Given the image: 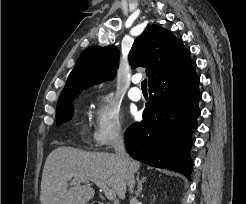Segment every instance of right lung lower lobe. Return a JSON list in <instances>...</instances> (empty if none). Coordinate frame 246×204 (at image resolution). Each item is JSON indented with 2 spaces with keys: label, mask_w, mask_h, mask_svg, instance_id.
<instances>
[{
  "label": "right lung lower lobe",
  "mask_w": 246,
  "mask_h": 204,
  "mask_svg": "<svg viewBox=\"0 0 246 204\" xmlns=\"http://www.w3.org/2000/svg\"><path fill=\"white\" fill-rule=\"evenodd\" d=\"M193 62L149 84L150 99L143 121L134 123L125 134L130 156L158 168L190 178L191 134L197 128L201 94Z\"/></svg>",
  "instance_id": "obj_1"
}]
</instances>
